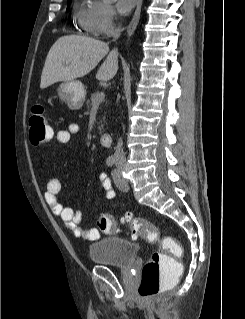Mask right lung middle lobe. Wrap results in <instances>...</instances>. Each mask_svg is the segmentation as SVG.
Wrapping results in <instances>:
<instances>
[{
    "mask_svg": "<svg viewBox=\"0 0 245 319\" xmlns=\"http://www.w3.org/2000/svg\"><path fill=\"white\" fill-rule=\"evenodd\" d=\"M71 0H68V5L70 4Z\"/></svg>",
    "mask_w": 245,
    "mask_h": 319,
    "instance_id": "dd1d6c3e",
    "label": "right lung middle lobe"
}]
</instances>
